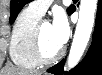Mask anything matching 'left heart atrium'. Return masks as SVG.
<instances>
[{
    "label": "left heart atrium",
    "mask_w": 102,
    "mask_h": 75,
    "mask_svg": "<svg viewBox=\"0 0 102 75\" xmlns=\"http://www.w3.org/2000/svg\"><path fill=\"white\" fill-rule=\"evenodd\" d=\"M51 28L57 43L62 47L70 34V27L63 12H56Z\"/></svg>",
    "instance_id": "1"
}]
</instances>
